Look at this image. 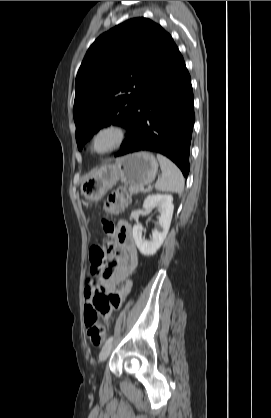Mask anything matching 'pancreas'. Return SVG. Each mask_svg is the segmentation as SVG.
<instances>
[{
    "label": "pancreas",
    "mask_w": 271,
    "mask_h": 418,
    "mask_svg": "<svg viewBox=\"0 0 271 418\" xmlns=\"http://www.w3.org/2000/svg\"><path fill=\"white\" fill-rule=\"evenodd\" d=\"M128 190L131 194H138L139 192H147V190H144L142 186L135 185V184H129Z\"/></svg>",
    "instance_id": "1"
}]
</instances>
